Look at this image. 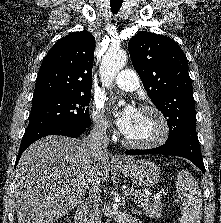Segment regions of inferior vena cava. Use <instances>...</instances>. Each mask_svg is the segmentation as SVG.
Segmentation results:
<instances>
[{
	"label": "inferior vena cava",
	"instance_id": "inferior-vena-cava-1",
	"mask_svg": "<svg viewBox=\"0 0 221 223\" xmlns=\"http://www.w3.org/2000/svg\"><path fill=\"white\" fill-rule=\"evenodd\" d=\"M107 124L103 122L96 123L88 137L85 139V145L89 156L94 161V167L97 168L100 158L110 140L107 136ZM89 204H90V223H99L100 220V203H101V184L99 180H93L90 183Z\"/></svg>",
	"mask_w": 221,
	"mask_h": 223
}]
</instances>
